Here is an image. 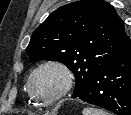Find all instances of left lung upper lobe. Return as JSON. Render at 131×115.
Here are the masks:
<instances>
[{
  "instance_id": "1",
  "label": "left lung upper lobe",
  "mask_w": 131,
  "mask_h": 115,
  "mask_svg": "<svg viewBox=\"0 0 131 115\" xmlns=\"http://www.w3.org/2000/svg\"><path fill=\"white\" fill-rule=\"evenodd\" d=\"M121 18L102 0H80L51 13L26 48L31 61L64 63L75 75L72 97L128 44Z\"/></svg>"
}]
</instances>
